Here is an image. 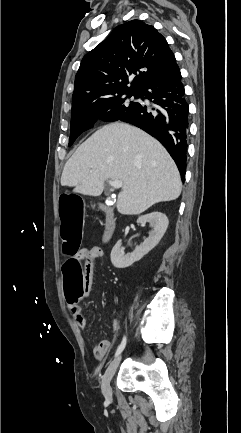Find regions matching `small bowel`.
<instances>
[{"label":"small bowel","mask_w":241,"mask_h":433,"mask_svg":"<svg viewBox=\"0 0 241 433\" xmlns=\"http://www.w3.org/2000/svg\"><path fill=\"white\" fill-rule=\"evenodd\" d=\"M102 256H103V250L98 246H93L90 248L82 249L76 257L78 261V265H80V261L82 260L85 261L83 277H84V290L86 293H89L91 291L96 262ZM68 309L78 328L83 331H87L88 322L86 317L83 315L81 307L79 305H68ZM119 327H120V318L119 316H116L113 320L114 331L115 332L118 331ZM110 348H111V342L109 340H103L99 342L93 347L94 358L98 361L104 360Z\"/></svg>","instance_id":"1"}]
</instances>
